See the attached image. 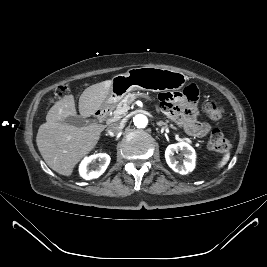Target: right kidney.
I'll list each match as a JSON object with an SVG mask.
<instances>
[{
  "label": "right kidney",
  "instance_id": "ca27d5eb",
  "mask_svg": "<svg viewBox=\"0 0 267 267\" xmlns=\"http://www.w3.org/2000/svg\"><path fill=\"white\" fill-rule=\"evenodd\" d=\"M98 159L99 163H95ZM110 163V156L106 153H97L85 157L79 166V173L85 180H91L101 176ZM92 164V165H91Z\"/></svg>",
  "mask_w": 267,
  "mask_h": 267
}]
</instances>
